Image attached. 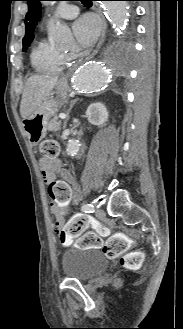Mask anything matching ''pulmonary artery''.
<instances>
[{"label": "pulmonary artery", "instance_id": "e3ab8cb5", "mask_svg": "<svg viewBox=\"0 0 183 329\" xmlns=\"http://www.w3.org/2000/svg\"><path fill=\"white\" fill-rule=\"evenodd\" d=\"M79 13V8L76 5L62 2L58 5L54 12L55 18L61 19H72L76 17Z\"/></svg>", "mask_w": 183, "mask_h": 329}]
</instances>
